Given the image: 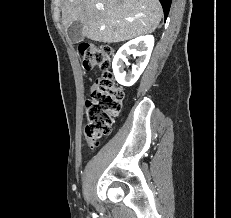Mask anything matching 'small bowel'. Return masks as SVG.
I'll list each match as a JSON object with an SVG mask.
<instances>
[{
    "label": "small bowel",
    "instance_id": "1",
    "mask_svg": "<svg viewBox=\"0 0 231 218\" xmlns=\"http://www.w3.org/2000/svg\"><path fill=\"white\" fill-rule=\"evenodd\" d=\"M89 145L92 147L94 144H93V143H91V142H89Z\"/></svg>",
    "mask_w": 231,
    "mask_h": 218
}]
</instances>
